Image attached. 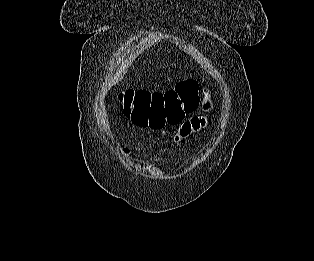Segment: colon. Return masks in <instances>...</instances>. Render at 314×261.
<instances>
[{
  "label": "colon",
  "mask_w": 314,
  "mask_h": 261,
  "mask_svg": "<svg viewBox=\"0 0 314 261\" xmlns=\"http://www.w3.org/2000/svg\"><path fill=\"white\" fill-rule=\"evenodd\" d=\"M199 92L200 87L195 80H185L174 90H127L120 94L119 99L123 103L124 115L133 124L163 129L170 124H180L186 115L194 113L202 106Z\"/></svg>",
  "instance_id": "colon-1"
}]
</instances>
